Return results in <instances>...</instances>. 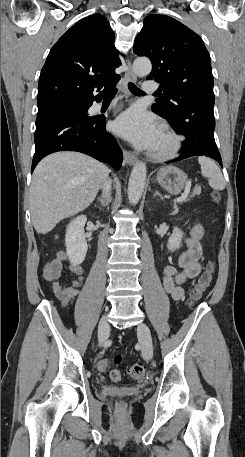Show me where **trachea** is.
Here are the masks:
<instances>
[{
    "instance_id": "trachea-1",
    "label": "trachea",
    "mask_w": 245,
    "mask_h": 457,
    "mask_svg": "<svg viewBox=\"0 0 245 457\" xmlns=\"http://www.w3.org/2000/svg\"><path fill=\"white\" fill-rule=\"evenodd\" d=\"M128 87H129V90L130 92H132L134 95H142L144 94V92L142 90H140V88H138L136 85H134V83H129L128 84ZM116 89L114 90H110L107 94H106V97H114L115 94H116ZM156 94V92H155Z\"/></svg>"
}]
</instances>
